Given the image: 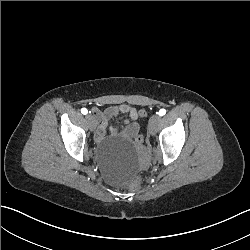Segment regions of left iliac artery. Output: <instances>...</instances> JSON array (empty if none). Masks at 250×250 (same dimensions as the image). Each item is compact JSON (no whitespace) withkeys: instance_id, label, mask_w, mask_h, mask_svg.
I'll use <instances>...</instances> for the list:
<instances>
[{"instance_id":"left-iliac-artery-1","label":"left iliac artery","mask_w":250,"mask_h":250,"mask_svg":"<svg viewBox=\"0 0 250 250\" xmlns=\"http://www.w3.org/2000/svg\"><path fill=\"white\" fill-rule=\"evenodd\" d=\"M158 114H159L160 116H163V115L166 114V110H165V109H160Z\"/></svg>"}]
</instances>
